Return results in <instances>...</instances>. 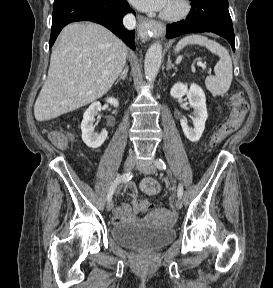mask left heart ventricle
Here are the masks:
<instances>
[{
  "label": "left heart ventricle",
  "mask_w": 273,
  "mask_h": 288,
  "mask_svg": "<svg viewBox=\"0 0 273 288\" xmlns=\"http://www.w3.org/2000/svg\"><path fill=\"white\" fill-rule=\"evenodd\" d=\"M180 8L178 0H170L167 7L164 9L167 12H176Z\"/></svg>",
  "instance_id": "1"
}]
</instances>
